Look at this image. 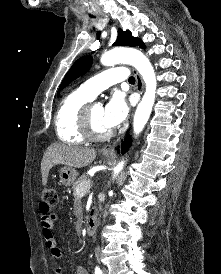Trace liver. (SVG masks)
<instances>
[{
	"label": "liver",
	"instance_id": "1",
	"mask_svg": "<svg viewBox=\"0 0 221 274\" xmlns=\"http://www.w3.org/2000/svg\"><path fill=\"white\" fill-rule=\"evenodd\" d=\"M95 157L94 149L63 144L50 145L41 162L42 184H47L49 171L53 166L62 164L72 168H83L91 164Z\"/></svg>",
	"mask_w": 221,
	"mask_h": 274
}]
</instances>
